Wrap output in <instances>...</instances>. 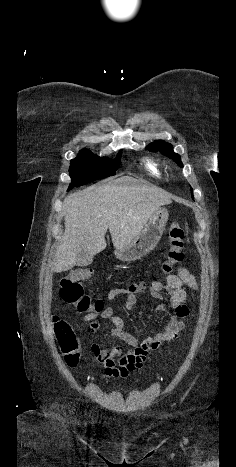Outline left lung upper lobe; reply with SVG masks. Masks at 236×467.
<instances>
[{
  "label": "left lung upper lobe",
  "instance_id": "left-lung-upper-lobe-1",
  "mask_svg": "<svg viewBox=\"0 0 236 467\" xmlns=\"http://www.w3.org/2000/svg\"><path fill=\"white\" fill-rule=\"evenodd\" d=\"M147 149L150 151H154V152L160 151L162 154H164L168 158L173 159V161L177 163L178 166L183 167L180 156L173 152V147L171 144L159 140L148 145Z\"/></svg>",
  "mask_w": 236,
  "mask_h": 467
}]
</instances>
